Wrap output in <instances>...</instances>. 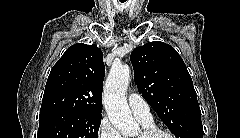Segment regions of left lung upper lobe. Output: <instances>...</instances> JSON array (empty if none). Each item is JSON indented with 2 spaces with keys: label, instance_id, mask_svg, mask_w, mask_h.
Returning <instances> with one entry per match:
<instances>
[{
  "label": "left lung upper lobe",
  "instance_id": "obj_1",
  "mask_svg": "<svg viewBox=\"0 0 240 138\" xmlns=\"http://www.w3.org/2000/svg\"><path fill=\"white\" fill-rule=\"evenodd\" d=\"M138 91L177 138L203 136L201 111L191 76L178 52L155 41L130 56Z\"/></svg>",
  "mask_w": 240,
  "mask_h": 138
}]
</instances>
